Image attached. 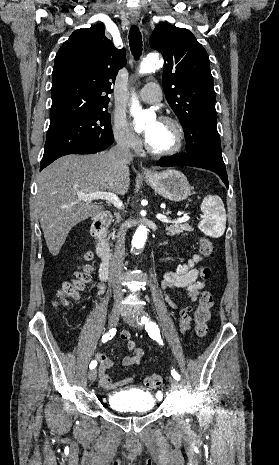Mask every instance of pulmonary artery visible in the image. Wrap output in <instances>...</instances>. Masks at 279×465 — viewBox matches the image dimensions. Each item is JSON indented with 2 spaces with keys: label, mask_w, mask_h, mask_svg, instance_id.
<instances>
[{
  "label": "pulmonary artery",
  "mask_w": 279,
  "mask_h": 465,
  "mask_svg": "<svg viewBox=\"0 0 279 465\" xmlns=\"http://www.w3.org/2000/svg\"><path fill=\"white\" fill-rule=\"evenodd\" d=\"M139 98L143 102H146V103H150V104L158 103L162 98L161 90L156 83L154 82L147 83L141 89L139 93Z\"/></svg>",
  "instance_id": "1"
}]
</instances>
